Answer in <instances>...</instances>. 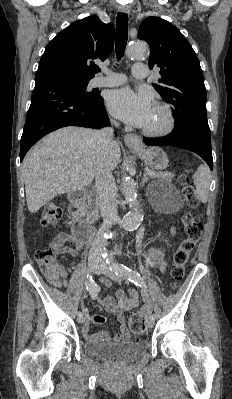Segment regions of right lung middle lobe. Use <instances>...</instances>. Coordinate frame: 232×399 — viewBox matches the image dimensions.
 Listing matches in <instances>:
<instances>
[{"instance_id":"right-lung-middle-lobe-1","label":"right lung middle lobe","mask_w":232,"mask_h":399,"mask_svg":"<svg viewBox=\"0 0 232 399\" xmlns=\"http://www.w3.org/2000/svg\"><path fill=\"white\" fill-rule=\"evenodd\" d=\"M59 80H61L65 84L72 85V86L76 87L78 90L81 91V93L84 96L92 97L97 94V92H87L86 91L87 85H88L90 79L62 78Z\"/></svg>"}]
</instances>
